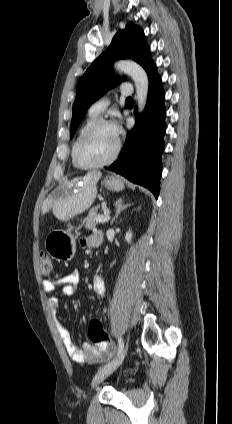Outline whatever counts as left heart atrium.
Masks as SVG:
<instances>
[{"instance_id": "1", "label": "left heart atrium", "mask_w": 232, "mask_h": 424, "mask_svg": "<svg viewBox=\"0 0 232 424\" xmlns=\"http://www.w3.org/2000/svg\"><path fill=\"white\" fill-rule=\"evenodd\" d=\"M113 129H114V131H115L116 135L118 136V134H119V132H120L118 125H117V124H114V125H113Z\"/></svg>"}]
</instances>
